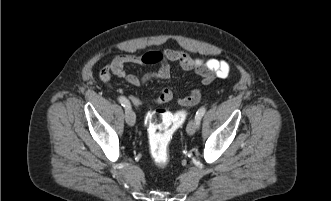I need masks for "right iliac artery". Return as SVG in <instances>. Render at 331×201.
<instances>
[{"label": "right iliac artery", "mask_w": 331, "mask_h": 201, "mask_svg": "<svg viewBox=\"0 0 331 201\" xmlns=\"http://www.w3.org/2000/svg\"><path fill=\"white\" fill-rule=\"evenodd\" d=\"M120 104L127 110V109H131V105L130 102L127 100V98H125L124 96H120L118 98Z\"/></svg>", "instance_id": "obj_1"}]
</instances>
